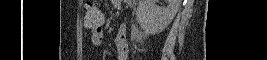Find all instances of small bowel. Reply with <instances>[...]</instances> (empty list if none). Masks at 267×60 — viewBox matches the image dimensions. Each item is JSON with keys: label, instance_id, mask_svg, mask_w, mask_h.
I'll return each mask as SVG.
<instances>
[{"label": "small bowel", "instance_id": "obj_1", "mask_svg": "<svg viewBox=\"0 0 267 60\" xmlns=\"http://www.w3.org/2000/svg\"><path fill=\"white\" fill-rule=\"evenodd\" d=\"M121 0L112 1L113 5L117 8L122 5ZM103 21V19H102ZM91 43L94 47H100L103 42V27L99 26L98 28H93L90 35ZM115 45L117 50V60H127L128 59V43H127V26L126 24H121L117 35L115 37Z\"/></svg>", "mask_w": 267, "mask_h": 60}]
</instances>
